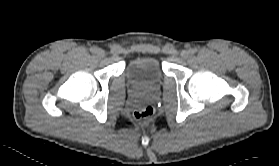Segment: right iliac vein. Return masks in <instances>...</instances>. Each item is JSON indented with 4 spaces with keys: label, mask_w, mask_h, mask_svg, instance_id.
I'll return each mask as SVG.
<instances>
[{
    "label": "right iliac vein",
    "mask_w": 279,
    "mask_h": 166,
    "mask_svg": "<svg viewBox=\"0 0 279 166\" xmlns=\"http://www.w3.org/2000/svg\"><path fill=\"white\" fill-rule=\"evenodd\" d=\"M96 55H97L99 58H102V57L105 56V52H104V50H102V49H97Z\"/></svg>",
    "instance_id": "obj_1"
}]
</instances>
